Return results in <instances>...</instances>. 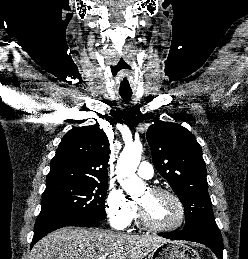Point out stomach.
I'll return each instance as SVG.
<instances>
[{
	"label": "stomach",
	"instance_id": "0dacf381",
	"mask_svg": "<svg viewBox=\"0 0 248 259\" xmlns=\"http://www.w3.org/2000/svg\"><path fill=\"white\" fill-rule=\"evenodd\" d=\"M150 259H200L192 247L182 242H165L153 249Z\"/></svg>",
	"mask_w": 248,
	"mask_h": 259
}]
</instances>
